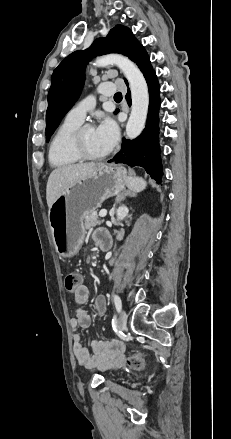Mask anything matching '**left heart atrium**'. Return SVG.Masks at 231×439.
I'll use <instances>...</instances> for the list:
<instances>
[{
    "instance_id": "39dd6f15",
    "label": "left heart atrium",
    "mask_w": 231,
    "mask_h": 439,
    "mask_svg": "<svg viewBox=\"0 0 231 439\" xmlns=\"http://www.w3.org/2000/svg\"><path fill=\"white\" fill-rule=\"evenodd\" d=\"M95 134L106 152H109L116 145L119 131L116 123L111 118H104L95 129Z\"/></svg>"
}]
</instances>
